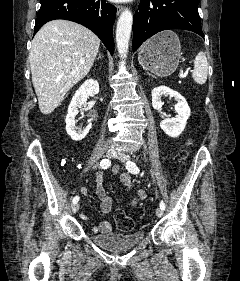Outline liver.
I'll return each mask as SVG.
<instances>
[{
	"mask_svg": "<svg viewBox=\"0 0 240 281\" xmlns=\"http://www.w3.org/2000/svg\"><path fill=\"white\" fill-rule=\"evenodd\" d=\"M100 39L86 27L52 20L35 35L29 54L32 83L42 114H50L90 71Z\"/></svg>",
	"mask_w": 240,
	"mask_h": 281,
	"instance_id": "obj_1",
	"label": "liver"
}]
</instances>
